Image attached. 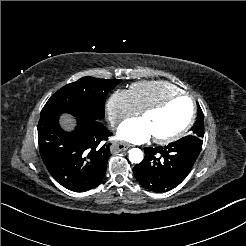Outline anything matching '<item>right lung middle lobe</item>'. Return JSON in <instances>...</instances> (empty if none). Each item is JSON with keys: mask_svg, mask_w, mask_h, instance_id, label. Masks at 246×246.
<instances>
[{"mask_svg": "<svg viewBox=\"0 0 246 246\" xmlns=\"http://www.w3.org/2000/svg\"><path fill=\"white\" fill-rule=\"evenodd\" d=\"M121 81L88 76L67 84L47 101L41 111V117L69 113L80 120H101L104 118L108 92Z\"/></svg>", "mask_w": 246, "mask_h": 246, "instance_id": "right-lung-middle-lobe-1", "label": "right lung middle lobe"}]
</instances>
